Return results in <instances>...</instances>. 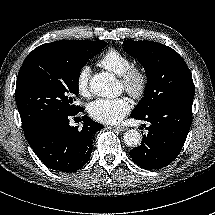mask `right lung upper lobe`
<instances>
[{
    "label": "right lung upper lobe",
    "instance_id": "right-lung-upper-lobe-1",
    "mask_svg": "<svg viewBox=\"0 0 215 215\" xmlns=\"http://www.w3.org/2000/svg\"><path fill=\"white\" fill-rule=\"evenodd\" d=\"M83 41H75V40H62L56 41L52 43L43 44L37 48H35L25 59L23 62L20 71L18 73V77H22L24 74L28 73L32 69L38 67L46 60L52 58L56 53L60 52L65 47H68L73 44H77Z\"/></svg>",
    "mask_w": 215,
    "mask_h": 215
}]
</instances>
